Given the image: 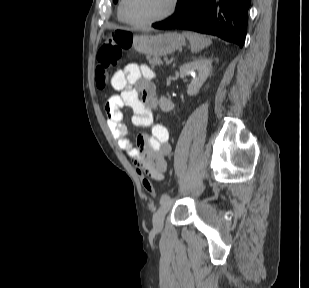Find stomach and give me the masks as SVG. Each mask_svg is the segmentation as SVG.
I'll list each match as a JSON object with an SVG mask.
<instances>
[{
  "label": "stomach",
  "mask_w": 309,
  "mask_h": 288,
  "mask_svg": "<svg viewBox=\"0 0 309 288\" xmlns=\"http://www.w3.org/2000/svg\"><path fill=\"white\" fill-rule=\"evenodd\" d=\"M183 45H185V38L176 32L133 37V47L136 51L154 57L172 53Z\"/></svg>",
  "instance_id": "stomach-1"
}]
</instances>
